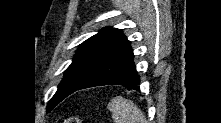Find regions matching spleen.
Instances as JSON below:
<instances>
[{
    "label": "spleen",
    "instance_id": "3e777b00",
    "mask_svg": "<svg viewBox=\"0 0 221 123\" xmlns=\"http://www.w3.org/2000/svg\"><path fill=\"white\" fill-rule=\"evenodd\" d=\"M108 108L115 123H146L143 112L131 100L117 96L110 101Z\"/></svg>",
    "mask_w": 221,
    "mask_h": 123
}]
</instances>
